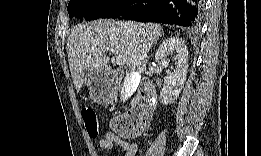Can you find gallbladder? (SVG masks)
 <instances>
[{
    "mask_svg": "<svg viewBox=\"0 0 261 156\" xmlns=\"http://www.w3.org/2000/svg\"><path fill=\"white\" fill-rule=\"evenodd\" d=\"M128 76L125 77L124 79V86L122 87L123 89H121L122 91H120V94L122 98L119 102H129V98L134 95V93L132 92H136V90L138 89V85L141 82V75H139V73L134 72V73H128ZM127 97V98H126Z\"/></svg>",
    "mask_w": 261,
    "mask_h": 156,
    "instance_id": "obj_1",
    "label": "gallbladder"
}]
</instances>
